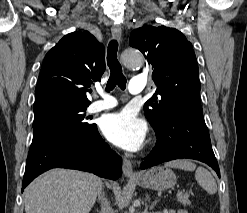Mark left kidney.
Returning <instances> with one entry per match:
<instances>
[{
	"label": "left kidney",
	"instance_id": "obj_1",
	"mask_svg": "<svg viewBox=\"0 0 247 213\" xmlns=\"http://www.w3.org/2000/svg\"><path fill=\"white\" fill-rule=\"evenodd\" d=\"M178 213H188V212L185 210H180V211H178Z\"/></svg>",
	"mask_w": 247,
	"mask_h": 213
}]
</instances>
